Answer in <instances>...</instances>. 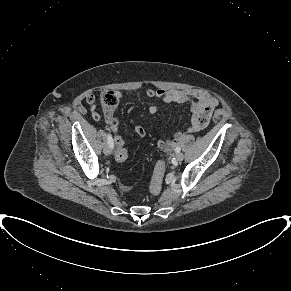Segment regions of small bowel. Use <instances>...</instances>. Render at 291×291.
I'll use <instances>...</instances> for the list:
<instances>
[{
    "label": "small bowel",
    "mask_w": 291,
    "mask_h": 291,
    "mask_svg": "<svg viewBox=\"0 0 291 291\" xmlns=\"http://www.w3.org/2000/svg\"><path fill=\"white\" fill-rule=\"evenodd\" d=\"M118 97H121V93L117 92ZM146 95L150 98L162 99L166 103H189L192 118L189 126L187 127V132L194 133L203 130L209 123L211 114L214 108L217 106V100L212 97L209 93L200 90H166V89H152L149 88L146 90ZM87 104L91 108L92 117L97 120L100 115L98 111L94 107L95 97L93 95H89L86 98ZM133 107L129 109L132 111ZM159 107L157 105H151L149 107V112L151 114H156L159 112ZM104 118L107 127L113 132L114 142L121 148L125 145V141L118 134L119 121L114 116L111 110H107L104 112ZM136 131L139 135L144 136L145 131L141 126L136 127ZM183 133L178 132L174 135L173 139H163L158 141V145L160 148L165 150L173 149L179 141L182 139ZM122 189L124 191H128L129 187L127 185H123Z\"/></svg>",
    "instance_id": "small-bowel-1"
}]
</instances>
